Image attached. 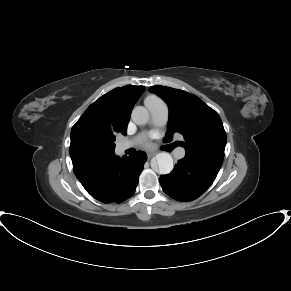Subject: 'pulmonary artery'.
Returning <instances> with one entry per match:
<instances>
[{
	"label": "pulmonary artery",
	"mask_w": 291,
	"mask_h": 291,
	"mask_svg": "<svg viewBox=\"0 0 291 291\" xmlns=\"http://www.w3.org/2000/svg\"><path fill=\"white\" fill-rule=\"evenodd\" d=\"M145 105L147 106V108L149 109L151 113L152 125L154 127H161L167 122L169 109L164 100L160 98L155 99V100H148V101H145ZM139 138L119 143L117 145V151L123 152L124 150L130 147H133ZM184 156H185V148L183 147L177 149L174 153V157L176 159H182Z\"/></svg>",
	"instance_id": "e3ab8cb5"
}]
</instances>
